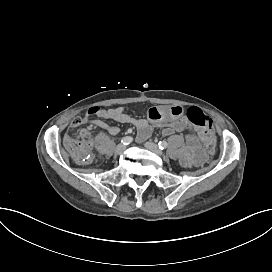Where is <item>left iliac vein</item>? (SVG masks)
<instances>
[{
    "instance_id": "obj_1",
    "label": "left iliac vein",
    "mask_w": 272,
    "mask_h": 272,
    "mask_svg": "<svg viewBox=\"0 0 272 272\" xmlns=\"http://www.w3.org/2000/svg\"><path fill=\"white\" fill-rule=\"evenodd\" d=\"M145 147L151 151H153L154 153H156L159 156H162V151L160 150V148L153 142L148 141L145 143Z\"/></svg>"
}]
</instances>
